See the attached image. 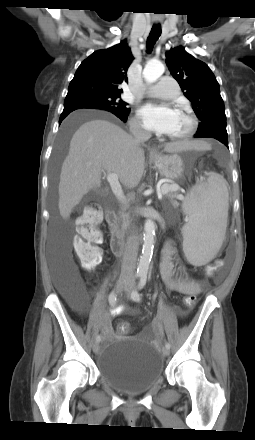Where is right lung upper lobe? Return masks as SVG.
<instances>
[{
  "label": "right lung upper lobe",
  "instance_id": "obj_1",
  "mask_svg": "<svg viewBox=\"0 0 255 440\" xmlns=\"http://www.w3.org/2000/svg\"><path fill=\"white\" fill-rule=\"evenodd\" d=\"M134 57L126 40L92 53L78 67L66 97L88 93L121 94L119 85L127 82V70Z\"/></svg>",
  "mask_w": 255,
  "mask_h": 440
}]
</instances>
